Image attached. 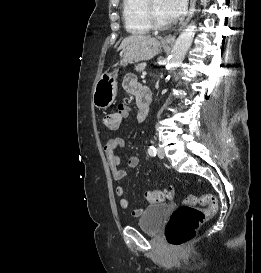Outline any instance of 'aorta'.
<instances>
[{
	"instance_id": "1",
	"label": "aorta",
	"mask_w": 261,
	"mask_h": 273,
	"mask_svg": "<svg viewBox=\"0 0 261 273\" xmlns=\"http://www.w3.org/2000/svg\"><path fill=\"white\" fill-rule=\"evenodd\" d=\"M195 28V24L193 22L190 23L177 38L169 57V70L179 66L184 60V57L192 44Z\"/></svg>"
}]
</instances>
